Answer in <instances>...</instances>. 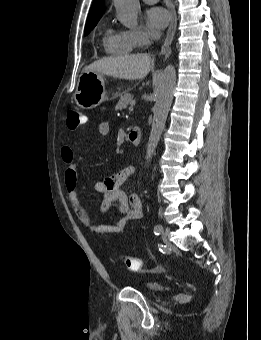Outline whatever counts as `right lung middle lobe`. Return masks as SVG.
Returning <instances> with one entry per match:
<instances>
[{"mask_svg":"<svg viewBox=\"0 0 261 340\" xmlns=\"http://www.w3.org/2000/svg\"><path fill=\"white\" fill-rule=\"evenodd\" d=\"M97 23H98V20L90 22V23H86L85 35H88L89 32L96 26Z\"/></svg>","mask_w":261,"mask_h":340,"instance_id":"dd1d6c3e","label":"right lung middle lobe"}]
</instances>
